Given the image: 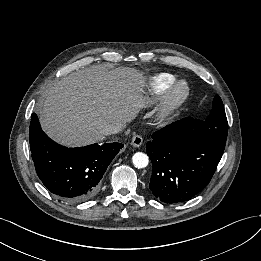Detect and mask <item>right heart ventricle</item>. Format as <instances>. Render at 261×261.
<instances>
[{"mask_svg":"<svg viewBox=\"0 0 261 261\" xmlns=\"http://www.w3.org/2000/svg\"><path fill=\"white\" fill-rule=\"evenodd\" d=\"M177 77L169 73H160L151 77L145 88L144 96L142 99V106L149 107L165 93L169 91L171 86L176 82Z\"/></svg>","mask_w":261,"mask_h":261,"instance_id":"1","label":"right heart ventricle"}]
</instances>
